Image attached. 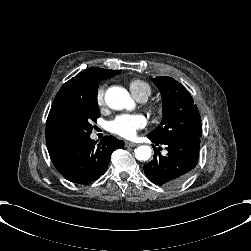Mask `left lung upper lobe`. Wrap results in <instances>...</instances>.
Here are the masks:
<instances>
[{"label": "left lung upper lobe", "instance_id": "obj_1", "mask_svg": "<svg viewBox=\"0 0 251 251\" xmlns=\"http://www.w3.org/2000/svg\"><path fill=\"white\" fill-rule=\"evenodd\" d=\"M163 99V119L160 126L151 132L158 141L202 135V124L197 106L190 93L175 79L162 76L153 78Z\"/></svg>", "mask_w": 251, "mask_h": 251}]
</instances>
